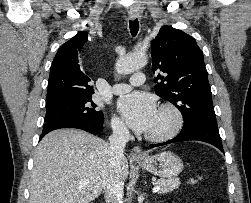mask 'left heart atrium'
<instances>
[{
	"label": "left heart atrium",
	"mask_w": 251,
	"mask_h": 203,
	"mask_svg": "<svg viewBox=\"0 0 251 203\" xmlns=\"http://www.w3.org/2000/svg\"><path fill=\"white\" fill-rule=\"evenodd\" d=\"M118 109L127 124L138 132H149L158 112L154 98L142 92H133L121 97Z\"/></svg>",
	"instance_id": "39dd6f15"
}]
</instances>
